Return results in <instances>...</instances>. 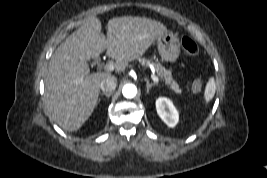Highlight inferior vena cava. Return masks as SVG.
I'll return each instance as SVG.
<instances>
[{"label": "inferior vena cava", "mask_w": 267, "mask_h": 178, "mask_svg": "<svg viewBox=\"0 0 267 178\" xmlns=\"http://www.w3.org/2000/svg\"><path fill=\"white\" fill-rule=\"evenodd\" d=\"M117 87V79L114 76H107L100 82V88L104 93H112Z\"/></svg>", "instance_id": "inferior-vena-cava-1"}]
</instances>
